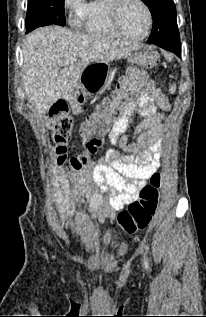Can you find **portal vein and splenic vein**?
I'll return each mask as SVG.
<instances>
[{"label": "portal vein and splenic vein", "instance_id": "18ae733b", "mask_svg": "<svg viewBox=\"0 0 206 317\" xmlns=\"http://www.w3.org/2000/svg\"><path fill=\"white\" fill-rule=\"evenodd\" d=\"M67 60H68V61H74L75 58H74V57H68Z\"/></svg>", "mask_w": 206, "mask_h": 317}]
</instances>
